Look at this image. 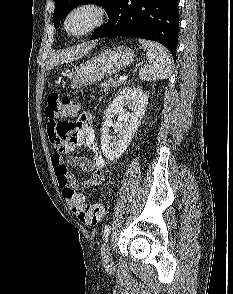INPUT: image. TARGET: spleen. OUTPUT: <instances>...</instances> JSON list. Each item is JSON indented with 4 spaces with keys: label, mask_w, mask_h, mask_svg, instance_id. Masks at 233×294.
<instances>
[{
    "label": "spleen",
    "mask_w": 233,
    "mask_h": 294,
    "mask_svg": "<svg viewBox=\"0 0 233 294\" xmlns=\"http://www.w3.org/2000/svg\"><path fill=\"white\" fill-rule=\"evenodd\" d=\"M146 49L147 63L139 70V78L142 81H156L170 77L172 67L171 60L165 48L159 43L138 39Z\"/></svg>",
    "instance_id": "obj_1"
}]
</instances>
